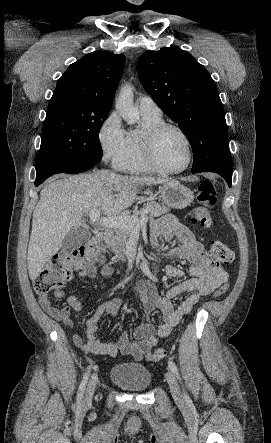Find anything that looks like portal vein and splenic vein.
<instances>
[{
    "label": "portal vein and splenic vein",
    "instance_id": "obj_1",
    "mask_svg": "<svg viewBox=\"0 0 271 443\" xmlns=\"http://www.w3.org/2000/svg\"><path fill=\"white\" fill-rule=\"evenodd\" d=\"M89 218L91 222L99 223L103 227H121V229H139L141 225H146L148 222L147 216H142L138 220L137 216H110V218H101L99 210H90Z\"/></svg>",
    "mask_w": 271,
    "mask_h": 443
}]
</instances>
